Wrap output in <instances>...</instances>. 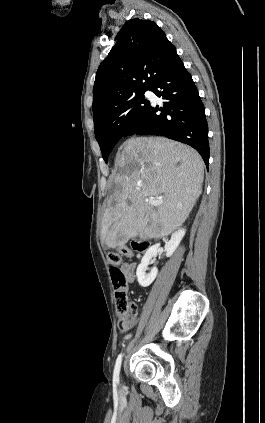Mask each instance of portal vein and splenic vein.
<instances>
[{
  "mask_svg": "<svg viewBox=\"0 0 265 423\" xmlns=\"http://www.w3.org/2000/svg\"><path fill=\"white\" fill-rule=\"evenodd\" d=\"M146 201H147L149 204L154 205V206H158V205H161V204L163 203V200H161V199H156V198H154V197H149V198H147V199H146Z\"/></svg>",
  "mask_w": 265,
  "mask_h": 423,
  "instance_id": "18ae733b",
  "label": "portal vein and splenic vein"
}]
</instances>
